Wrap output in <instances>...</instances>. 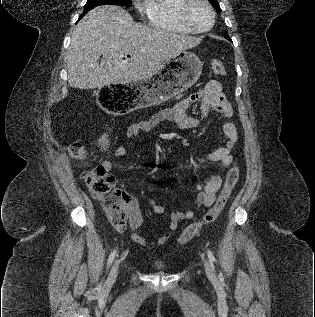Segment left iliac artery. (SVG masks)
<instances>
[{"instance_id":"1","label":"left iliac artery","mask_w":315,"mask_h":317,"mask_svg":"<svg viewBox=\"0 0 315 317\" xmlns=\"http://www.w3.org/2000/svg\"><path fill=\"white\" fill-rule=\"evenodd\" d=\"M207 255H208L209 261L211 263V266L213 267V262L216 261V259L210 250H207ZM220 276L222 277V274H220Z\"/></svg>"}]
</instances>
